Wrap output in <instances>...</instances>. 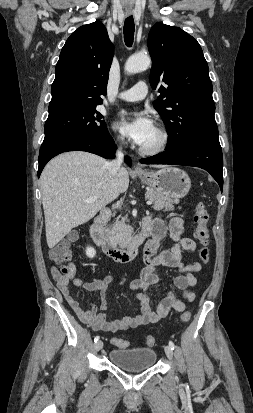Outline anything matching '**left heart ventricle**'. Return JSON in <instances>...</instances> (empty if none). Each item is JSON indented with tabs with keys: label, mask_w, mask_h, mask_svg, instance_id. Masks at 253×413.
Wrapping results in <instances>:
<instances>
[{
	"label": "left heart ventricle",
	"mask_w": 253,
	"mask_h": 413,
	"mask_svg": "<svg viewBox=\"0 0 253 413\" xmlns=\"http://www.w3.org/2000/svg\"><path fill=\"white\" fill-rule=\"evenodd\" d=\"M158 141H159V134L156 128H154L151 134L147 137V139L143 142L141 146L153 147L158 143Z\"/></svg>",
	"instance_id": "left-heart-ventricle-1"
}]
</instances>
